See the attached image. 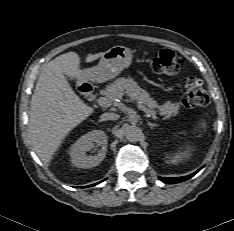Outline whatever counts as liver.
Returning a JSON list of instances; mask_svg holds the SVG:
<instances>
[{
    "instance_id": "obj_1",
    "label": "liver",
    "mask_w": 234,
    "mask_h": 231,
    "mask_svg": "<svg viewBox=\"0 0 234 231\" xmlns=\"http://www.w3.org/2000/svg\"><path fill=\"white\" fill-rule=\"evenodd\" d=\"M104 53L89 54L86 62L95 61ZM80 61L76 52H68L46 64L31 98L29 136L33 149L46 165L66 136L94 112L76 95L66 78H81Z\"/></svg>"
}]
</instances>
